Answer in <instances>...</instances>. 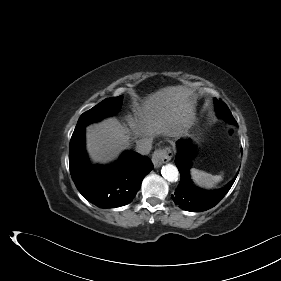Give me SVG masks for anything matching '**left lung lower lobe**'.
<instances>
[{
  "instance_id": "left-lung-lower-lobe-1",
  "label": "left lung lower lobe",
  "mask_w": 281,
  "mask_h": 281,
  "mask_svg": "<svg viewBox=\"0 0 281 281\" xmlns=\"http://www.w3.org/2000/svg\"><path fill=\"white\" fill-rule=\"evenodd\" d=\"M177 145L178 153L175 162L181 179L174 195H172L173 201L181 209L190 212L205 211L214 207L230 190L236 177L225 187L216 191H205L195 187L189 178L190 160L193 156L190 143L180 140Z\"/></svg>"
}]
</instances>
